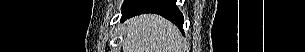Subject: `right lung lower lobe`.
<instances>
[{"label":"right lung lower lobe","instance_id":"right-lung-lower-lobe-1","mask_svg":"<svg viewBox=\"0 0 305 52\" xmlns=\"http://www.w3.org/2000/svg\"><path fill=\"white\" fill-rule=\"evenodd\" d=\"M143 13L159 14L183 31V16L178 10L175 0H125L122 6L121 21Z\"/></svg>","mask_w":305,"mask_h":52}]
</instances>
